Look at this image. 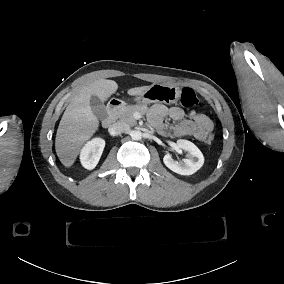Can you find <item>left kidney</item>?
Returning <instances> with one entry per match:
<instances>
[{
    "label": "left kidney",
    "instance_id": "5707ae66",
    "mask_svg": "<svg viewBox=\"0 0 284 284\" xmlns=\"http://www.w3.org/2000/svg\"><path fill=\"white\" fill-rule=\"evenodd\" d=\"M176 147L186 151L187 158L178 162L170 154H166L163 161L170 170L180 175H192L203 166L204 156L195 144L179 139L176 142Z\"/></svg>",
    "mask_w": 284,
    "mask_h": 284
}]
</instances>
